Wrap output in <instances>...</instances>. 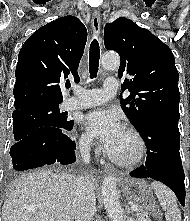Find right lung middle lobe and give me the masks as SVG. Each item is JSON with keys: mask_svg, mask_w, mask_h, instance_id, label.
Here are the masks:
<instances>
[{"mask_svg": "<svg viewBox=\"0 0 190 221\" xmlns=\"http://www.w3.org/2000/svg\"><path fill=\"white\" fill-rule=\"evenodd\" d=\"M59 104L37 105L12 114L15 140L20 141L32 131L43 126L65 127L74 123L65 114L59 112Z\"/></svg>", "mask_w": 190, "mask_h": 221, "instance_id": "right-lung-middle-lobe-1", "label": "right lung middle lobe"}]
</instances>
